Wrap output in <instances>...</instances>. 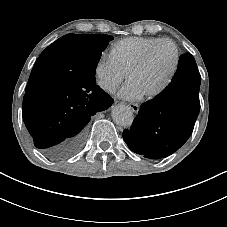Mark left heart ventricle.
<instances>
[{
	"mask_svg": "<svg viewBox=\"0 0 227 227\" xmlns=\"http://www.w3.org/2000/svg\"><path fill=\"white\" fill-rule=\"evenodd\" d=\"M174 60V51L168 43L158 44L151 52L146 65L133 74V83L144 96L157 89L166 79Z\"/></svg>",
	"mask_w": 227,
	"mask_h": 227,
	"instance_id": "left-heart-ventricle-1",
	"label": "left heart ventricle"
}]
</instances>
